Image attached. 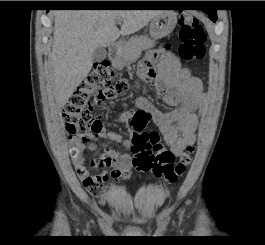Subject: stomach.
<instances>
[{"mask_svg":"<svg viewBox=\"0 0 265 245\" xmlns=\"http://www.w3.org/2000/svg\"><path fill=\"white\" fill-rule=\"evenodd\" d=\"M177 24V15L173 11H165L151 20L149 30L154 39L168 36Z\"/></svg>","mask_w":265,"mask_h":245,"instance_id":"0dacf381","label":"stomach"}]
</instances>
